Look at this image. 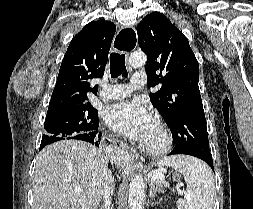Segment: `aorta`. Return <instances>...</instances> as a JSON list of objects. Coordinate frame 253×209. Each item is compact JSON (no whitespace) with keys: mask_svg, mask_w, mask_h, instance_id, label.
<instances>
[{"mask_svg":"<svg viewBox=\"0 0 253 209\" xmlns=\"http://www.w3.org/2000/svg\"><path fill=\"white\" fill-rule=\"evenodd\" d=\"M146 60L144 53L134 52L130 55L129 63L132 67L138 68L144 66ZM128 198L130 209H142L144 201V181L142 176L136 175L132 178Z\"/></svg>","mask_w":253,"mask_h":209,"instance_id":"762f6f07","label":"aorta"}]
</instances>
